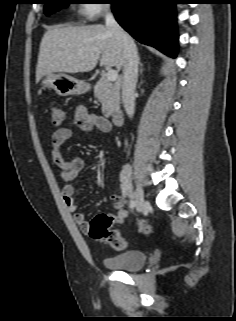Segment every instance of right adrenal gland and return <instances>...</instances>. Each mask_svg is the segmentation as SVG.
<instances>
[{
    "label": "right adrenal gland",
    "mask_w": 236,
    "mask_h": 321,
    "mask_svg": "<svg viewBox=\"0 0 236 321\" xmlns=\"http://www.w3.org/2000/svg\"><path fill=\"white\" fill-rule=\"evenodd\" d=\"M139 66H140V74H142V72H143V64L140 61V58H139Z\"/></svg>",
    "instance_id": "obj_1"
}]
</instances>
